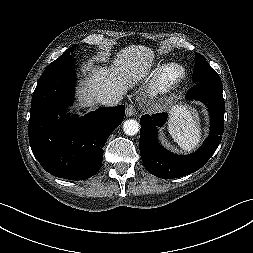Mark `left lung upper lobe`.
<instances>
[{
  "label": "left lung upper lobe",
  "mask_w": 253,
  "mask_h": 253,
  "mask_svg": "<svg viewBox=\"0 0 253 253\" xmlns=\"http://www.w3.org/2000/svg\"><path fill=\"white\" fill-rule=\"evenodd\" d=\"M193 79L196 82L206 81L222 85L221 79L214 69L207 63L205 58L196 53V63L193 71Z\"/></svg>",
  "instance_id": "1"
}]
</instances>
